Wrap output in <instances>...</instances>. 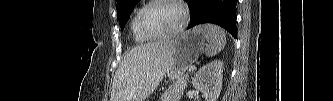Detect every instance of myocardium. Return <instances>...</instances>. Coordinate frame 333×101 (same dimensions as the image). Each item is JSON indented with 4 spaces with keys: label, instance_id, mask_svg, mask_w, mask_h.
<instances>
[{
    "label": "myocardium",
    "instance_id": "obj_1",
    "mask_svg": "<svg viewBox=\"0 0 333 101\" xmlns=\"http://www.w3.org/2000/svg\"><path fill=\"white\" fill-rule=\"evenodd\" d=\"M159 3H171L175 6L178 7L181 13V21L179 25L173 29L170 32L167 33H161V34H154L152 33L145 25L144 23V18L147 13V11L154 5L159 4ZM188 21V11L184 4L181 1L178 0H154L150 1L147 5H145L142 10L139 13L138 16V27L139 30L141 31L142 34H144L146 37L149 39H162V38H167V37H172L180 33L186 26Z\"/></svg>",
    "mask_w": 333,
    "mask_h": 101
}]
</instances>
